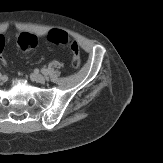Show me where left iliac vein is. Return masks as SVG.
Listing matches in <instances>:
<instances>
[{
    "label": "left iliac vein",
    "instance_id": "4c4485c4",
    "mask_svg": "<svg viewBox=\"0 0 163 163\" xmlns=\"http://www.w3.org/2000/svg\"><path fill=\"white\" fill-rule=\"evenodd\" d=\"M32 79L35 82H38V83H44L45 82V77L42 74H39V73H33L32 74Z\"/></svg>",
    "mask_w": 163,
    "mask_h": 163
}]
</instances>
